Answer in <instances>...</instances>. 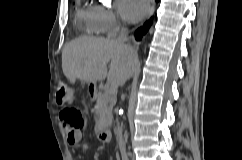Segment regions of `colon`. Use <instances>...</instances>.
<instances>
[{
	"mask_svg": "<svg viewBox=\"0 0 242 160\" xmlns=\"http://www.w3.org/2000/svg\"><path fill=\"white\" fill-rule=\"evenodd\" d=\"M71 98L72 93L69 86L64 80H60L57 83L56 103L63 107L61 116L73 129H80L84 124V118L78 109L68 106Z\"/></svg>",
	"mask_w": 242,
	"mask_h": 160,
	"instance_id": "5ec220e1",
	"label": "colon"
}]
</instances>
